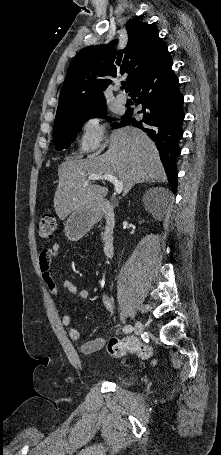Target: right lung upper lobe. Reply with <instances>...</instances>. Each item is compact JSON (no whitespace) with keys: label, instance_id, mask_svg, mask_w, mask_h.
Instances as JSON below:
<instances>
[{"label":"right lung upper lobe","instance_id":"obj_1","mask_svg":"<svg viewBox=\"0 0 221 455\" xmlns=\"http://www.w3.org/2000/svg\"><path fill=\"white\" fill-rule=\"evenodd\" d=\"M128 44L117 51V40L105 45L82 49L70 64L61 90L55 121L86 111L105 102L103 90L111 84L110 78L124 76L126 92L167 50L164 41L153 26L130 21L126 25Z\"/></svg>","mask_w":221,"mask_h":455}]
</instances>
